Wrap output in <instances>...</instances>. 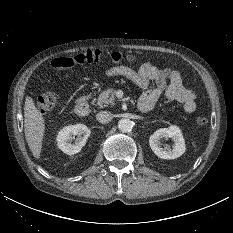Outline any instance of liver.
Wrapping results in <instances>:
<instances>
[{
  "mask_svg": "<svg viewBox=\"0 0 233 233\" xmlns=\"http://www.w3.org/2000/svg\"><path fill=\"white\" fill-rule=\"evenodd\" d=\"M45 120L33 99L27 96L24 104V133L33 156L38 159L42 150Z\"/></svg>",
  "mask_w": 233,
  "mask_h": 233,
  "instance_id": "obj_1",
  "label": "liver"
}]
</instances>
